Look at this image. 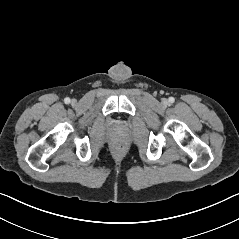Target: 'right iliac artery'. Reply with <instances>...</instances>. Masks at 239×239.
Here are the masks:
<instances>
[{
    "label": "right iliac artery",
    "mask_w": 239,
    "mask_h": 239,
    "mask_svg": "<svg viewBox=\"0 0 239 239\" xmlns=\"http://www.w3.org/2000/svg\"><path fill=\"white\" fill-rule=\"evenodd\" d=\"M64 102H65L66 104H69V103H70V98H68V97L65 98V99H64Z\"/></svg>",
    "instance_id": "1"
}]
</instances>
